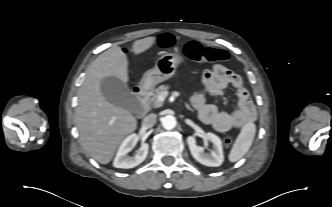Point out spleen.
<instances>
[{
	"label": "spleen",
	"mask_w": 332,
	"mask_h": 207,
	"mask_svg": "<svg viewBox=\"0 0 332 207\" xmlns=\"http://www.w3.org/2000/svg\"><path fill=\"white\" fill-rule=\"evenodd\" d=\"M255 133L256 126L253 122H248L243 126L230 151V162L240 160L248 152L254 140Z\"/></svg>",
	"instance_id": "spleen-1"
}]
</instances>
